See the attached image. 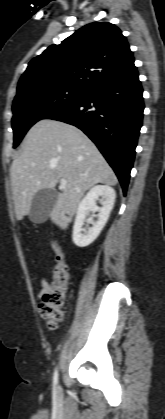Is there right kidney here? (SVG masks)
Listing matches in <instances>:
<instances>
[{
  "mask_svg": "<svg viewBox=\"0 0 165 419\" xmlns=\"http://www.w3.org/2000/svg\"><path fill=\"white\" fill-rule=\"evenodd\" d=\"M115 198V190L108 185H97L89 190L77 208L72 234L75 245L86 247L99 236L113 209ZM97 200H99L102 207L96 205ZM90 212H99L96 222L93 221L92 217L86 220ZM84 222L92 224V227L86 232H83L82 229Z\"/></svg>",
  "mask_w": 165,
  "mask_h": 419,
  "instance_id": "ca27d5eb",
  "label": "right kidney"
}]
</instances>
